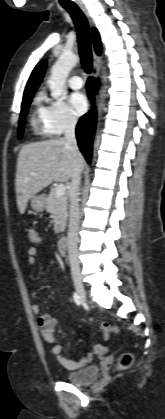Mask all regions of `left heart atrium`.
I'll use <instances>...</instances> for the list:
<instances>
[{"instance_id": "left-heart-atrium-1", "label": "left heart atrium", "mask_w": 165, "mask_h": 419, "mask_svg": "<svg viewBox=\"0 0 165 419\" xmlns=\"http://www.w3.org/2000/svg\"><path fill=\"white\" fill-rule=\"evenodd\" d=\"M70 104L77 115H82L87 110V100L86 97L80 93L75 92L70 96Z\"/></svg>"}]
</instances>
